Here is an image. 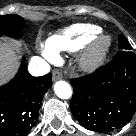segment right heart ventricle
<instances>
[{
	"label": "right heart ventricle",
	"instance_id": "obj_1",
	"mask_svg": "<svg viewBox=\"0 0 136 136\" xmlns=\"http://www.w3.org/2000/svg\"><path fill=\"white\" fill-rule=\"evenodd\" d=\"M100 33L101 29L94 25H72L50 36L46 41V47L54 54L60 51L75 52L86 46Z\"/></svg>",
	"mask_w": 136,
	"mask_h": 136
}]
</instances>
